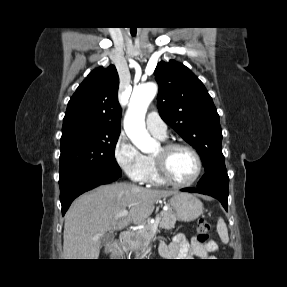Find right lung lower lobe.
<instances>
[{"instance_id":"obj_1","label":"right lung lower lobe","mask_w":287,"mask_h":287,"mask_svg":"<svg viewBox=\"0 0 287 287\" xmlns=\"http://www.w3.org/2000/svg\"><path fill=\"white\" fill-rule=\"evenodd\" d=\"M120 176L95 171H80L59 179L60 201L64 215L71 202L82 193L99 185L109 184Z\"/></svg>"}]
</instances>
